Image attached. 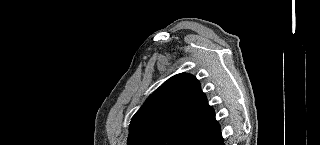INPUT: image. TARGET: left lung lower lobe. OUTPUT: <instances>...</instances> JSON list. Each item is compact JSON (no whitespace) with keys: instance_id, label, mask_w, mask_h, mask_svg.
<instances>
[{"instance_id":"obj_1","label":"left lung lower lobe","mask_w":320,"mask_h":145,"mask_svg":"<svg viewBox=\"0 0 320 145\" xmlns=\"http://www.w3.org/2000/svg\"><path fill=\"white\" fill-rule=\"evenodd\" d=\"M178 145H224L215 113L204 124L185 135Z\"/></svg>"}]
</instances>
